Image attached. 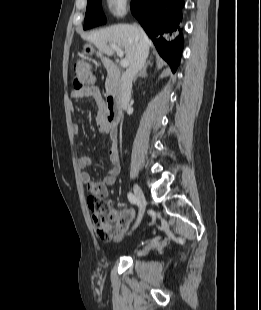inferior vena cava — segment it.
<instances>
[{
    "mask_svg": "<svg viewBox=\"0 0 261 310\" xmlns=\"http://www.w3.org/2000/svg\"><path fill=\"white\" fill-rule=\"evenodd\" d=\"M141 38L136 47L134 59L129 65L128 69L122 74V86H121V97L120 104L123 109H127L132 92V82L135 79L138 72H140L146 63L147 58V42L146 35L140 29Z\"/></svg>",
    "mask_w": 261,
    "mask_h": 310,
    "instance_id": "inferior-vena-cava-1",
    "label": "inferior vena cava"
}]
</instances>
